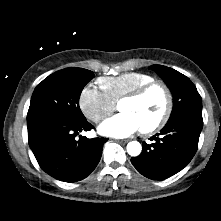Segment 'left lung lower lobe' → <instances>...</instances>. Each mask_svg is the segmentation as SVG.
<instances>
[{"mask_svg":"<svg viewBox=\"0 0 221 221\" xmlns=\"http://www.w3.org/2000/svg\"><path fill=\"white\" fill-rule=\"evenodd\" d=\"M202 128V113H184L173 118L150 138L152 144L143 142L142 153L131 158L133 166L152 180L176 174L194 157Z\"/></svg>","mask_w":221,"mask_h":221,"instance_id":"0a47b994","label":"left lung lower lobe"}]
</instances>
